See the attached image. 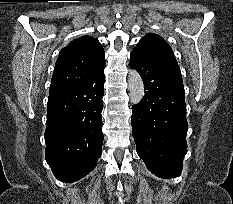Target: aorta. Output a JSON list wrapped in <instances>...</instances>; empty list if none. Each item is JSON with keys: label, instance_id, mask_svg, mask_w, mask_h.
Segmentation results:
<instances>
[{"label": "aorta", "instance_id": "obj_1", "mask_svg": "<svg viewBox=\"0 0 233 204\" xmlns=\"http://www.w3.org/2000/svg\"><path fill=\"white\" fill-rule=\"evenodd\" d=\"M128 89L132 104H138L144 97V84L136 70H130L128 75Z\"/></svg>", "mask_w": 233, "mask_h": 204}]
</instances>
